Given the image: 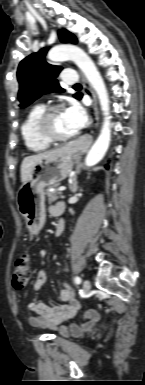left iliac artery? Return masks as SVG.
Returning a JSON list of instances; mask_svg holds the SVG:
<instances>
[{"label": "left iliac artery", "instance_id": "left-iliac-artery-1", "mask_svg": "<svg viewBox=\"0 0 145 385\" xmlns=\"http://www.w3.org/2000/svg\"><path fill=\"white\" fill-rule=\"evenodd\" d=\"M74 282L79 285L81 283V278L79 276H76L74 279Z\"/></svg>", "mask_w": 145, "mask_h": 385}]
</instances>
